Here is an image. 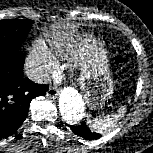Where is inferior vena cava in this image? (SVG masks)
Listing matches in <instances>:
<instances>
[{"instance_id": "obj_1", "label": "inferior vena cava", "mask_w": 153, "mask_h": 153, "mask_svg": "<svg viewBox=\"0 0 153 153\" xmlns=\"http://www.w3.org/2000/svg\"><path fill=\"white\" fill-rule=\"evenodd\" d=\"M25 73L26 76L33 82L35 83H47L49 82V75L48 73L44 72L41 69L35 68V67H31V66H27L25 68Z\"/></svg>"}]
</instances>
